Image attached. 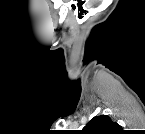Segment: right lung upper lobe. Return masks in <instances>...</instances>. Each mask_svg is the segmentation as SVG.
<instances>
[{"mask_svg":"<svg viewBox=\"0 0 145 134\" xmlns=\"http://www.w3.org/2000/svg\"><path fill=\"white\" fill-rule=\"evenodd\" d=\"M121 126L107 115L95 116L79 131L80 134H117Z\"/></svg>","mask_w":145,"mask_h":134,"instance_id":"1","label":"right lung upper lobe"}]
</instances>
